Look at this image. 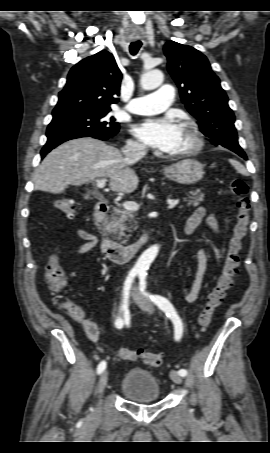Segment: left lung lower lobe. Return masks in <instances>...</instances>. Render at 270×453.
Here are the masks:
<instances>
[{
	"label": "left lung lower lobe",
	"instance_id": "left-lung-lower-lobe-1",
	"mask_svg": "<svg viewBox=\"0 0 270 453\" xmlns=\"http://www.w3.org/2000/svg\"><path fill=\"white\" fill-rule=\"evenodd\" d=\"M233 152H235L236 154H238L239 156H241L242 158H244L245 160L247 159L244 151L241 149V147H237V148H233L231 149Z\"/></svg>",
	"mask_w": 270,
	"mask_h": 453
}]
</instances>
